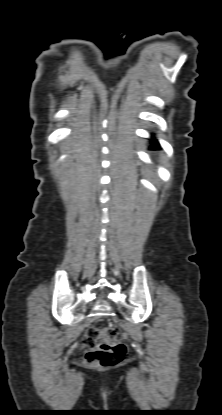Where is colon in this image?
Returning a JSON list of instances; mask_svg holds the SVG:
<instances>
[{"label": "colon", "instance_id": "1", "mask_svg": "<svg viewBox=\"0 0 222 415\" xmlns=\"http://www.w3.org/2000/svg\"><path fill=\"white\" fill-rule=\"evenodd\" d=\"M118 336V328L112 325L89 327L84 338V344L88 347L85 361L103 367H114L123 363L127 358L128 349L119 341Z\"/></svg>", "mask_w": 222, "mask_h": 415}]
</instances>
